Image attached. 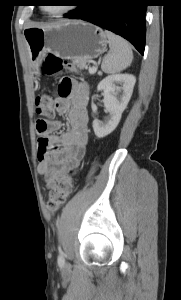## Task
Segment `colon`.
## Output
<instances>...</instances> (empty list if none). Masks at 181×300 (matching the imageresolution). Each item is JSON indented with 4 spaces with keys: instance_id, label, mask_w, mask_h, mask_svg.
Instances as JSON below:
<instances>
[{
    "instance_id": "5ec220e1",
    "label": "colon",
    "mask_w": 181,
    "mask_h": 300,
    "mask_svg": "<svg viewBox=\"0 0 181 300\" xmlns=\"http://www.w3.org/2000/svg\"><path fill=\"white\" fill-rule=\"evenodd\" d=\"M41 73L44 77L51 78L61 71H75V66L55 55H47L41 64ZM36 111L45 118L36 124L39 138H43L48 131V121L55 117V107L49 94L44 93L36 99ZM74 189V177L72 175L61 178L56 187L52 189L47 200V208L55 213L69 198Z\"/></svg>"
}]
</instances>
